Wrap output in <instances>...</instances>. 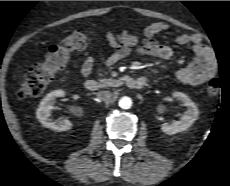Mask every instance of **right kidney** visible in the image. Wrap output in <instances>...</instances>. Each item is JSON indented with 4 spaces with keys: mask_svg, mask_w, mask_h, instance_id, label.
<instances>
[{
    "mask_svg": "<svg viewBox=\"0 0 230 186\" xmlns=\"http://www.w3.org/2000/svg\"><path fill=\"white\" fill-rule=\"evenodd\" d=\"M64 96L65 92L63 90H55L48 93L42 99L39 107L37 108L36 117L43 126L56 131H66L72 128L73 124L67 119L53 121L50 118L56 98Z\"/></svg>",
    "mask_w": 230,
    "mask_h": 186,
    "instance_id": "1",
    "label": "right kidney"
}]
</instances>
